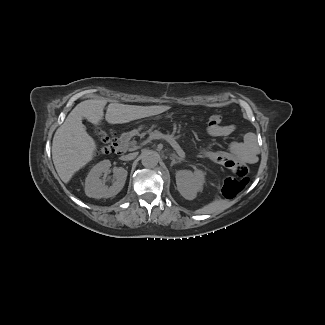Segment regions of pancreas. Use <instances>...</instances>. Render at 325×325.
Returning <instances> with one entry per match:
<instances>
[{
	"label": "pancreas",
	"mask_w": 325,
	"mask_h": 325,
	"mask_svg": "<svg viewBox=\"0 0 325 325\" xmlns=\"http://www.w3.org/2000/svg\"><path fill=\"white\" fill-rule=\"evenodd\" d=\"M156 130H158V129H156ZM151 132H153L152 130H150ZM150 131H147V130H144L143 132H142V134H138L137 136H136V139L138 140V141H141L142 139H143V136L144 137H147L148 135H149V133H150ZM154 132H156V131H154ZM157 132H159V131H157ZM151 134H153V133H151ZM131 146L132 145H135V143L134 142H131V144H130Z\"/></svg>",
	"instance_id": "1"
}]
</instances>
